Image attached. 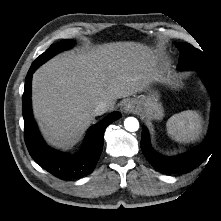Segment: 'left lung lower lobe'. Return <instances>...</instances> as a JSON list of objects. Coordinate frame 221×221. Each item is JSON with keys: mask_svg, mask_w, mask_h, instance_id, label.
I'll list each match as a JSON object with an SVG mask.
<instances>
[{"mask_svg": "<svg viewBox=\"0 0 221 221\" xmlns=\"http://www.w3.org/2000/svg\"><path fill=\"white\" fill-rule=\"evenodd\" d=\"M212 96L210 128L204 143L197 149L177 157H164L156 153L149 144L146 127L142 128L141 149L151 165L161 173H188L198 167L211 154L214 146L221 140V84L208 71H198Z\"/></svg>", "mask_w": 221, "mask_h": 221, "instance_id": "0a47b994", "label": "left lung lower lobe"}]
</instances>
